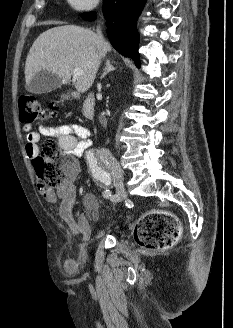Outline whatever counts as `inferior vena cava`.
I'll use <instances>...</instances> for the list:
<instances>
[{"instance_id":"inferior-vena-cava-1","label":"inferior vena cava","mask_w":233,"mask_h":328,"mask_svg":"<svg viewBox=\"0 0 233 328\" xmlns=\"http://www.w3.org/2000/svg\"><path fill=\"white\" fill-rule=\"evenodd\" d=\"M97 34H98V37H99L101 40H103V38H102V34H101V31H100L99 28L97 29Z\"/></svg>"}]
</instances>
